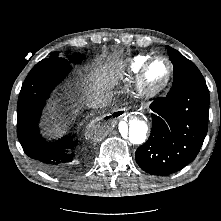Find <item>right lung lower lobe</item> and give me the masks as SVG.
<instances>
[{"mask_svg":"<svg viewBox=\"0 0 221 221\" xmlns=\"http://www.w3.org/2000/svg\"><path fill=\"white\" fill-rule=\"evenodd\" d=\"M68 60L60 57L47 58L36 64L25 79L17 109V135L27 156L46 172L66 175L76 164L72 137L47 142L41 135L38 122L46 100L52 90L70 72Z\"/></svg>","mask_w":221,"mask_h":221,"instance_id":"obj_1","label":"right lung lower lobe"}]
</instances>
